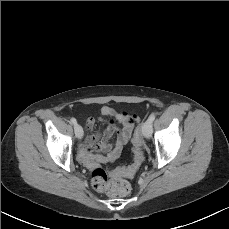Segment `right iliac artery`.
Instances as JSON below:
<instances>
[{"label": "right iliac artery", "mask_w": 229, "mask_h": 229, "mask_svg": "<svg viewBox=\"0 0 229 229\" xmlns=\"http://www.w3.org/2000/svg\"><path fill=\"white\" fill-rule=\"evenodd\" d=\"M70 121H71V123H72L73 125H76V124H77V121H76L75 118H71Z\"/></svg>", "instance_id": "right-iliac-artery-1"}]
</instances>
